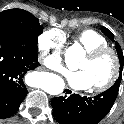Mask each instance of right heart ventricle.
Instances as JSON below:
<instances>
[{
	"label": "right heart ventricle",
	"instance_id": "right-heart-ventricle-1",
	"mask_svg": "<svg viewBox=\"0 0 124 124\" xmlns=\"http://www.w3.org/2000/svg\"><path fill=\"white\" fill-rule=\"evenodd\" d=\"M74 42L85 51L96 47L108 46L107 39L93 29H85L77 33L74 36Z\"/></svg>",
	"mask_w": 124,
	"mask_h": 124
}]
</instances>
